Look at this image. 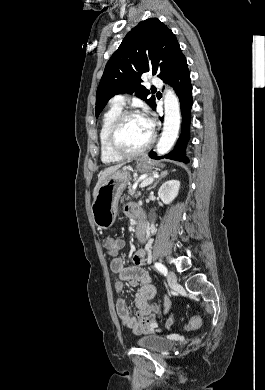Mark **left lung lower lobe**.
<instances>
[{
  "label": "left lung lower lobe",
  "mask_w": 265,
  "mask_h": 390,
  "mask_svg": "<svg viewBox=\"0 0 265 390\" xmlns=\"http://www.w3.org/2000/svg\"><path fill=\"white\" fill-rule=\"evenodd\" d=\"M163 81L166 83H170V85L174 88L177 96L179 97L182 114V130L181 135L173 151L162 157L156 156V153L151 151L149 153V156L153 159L168 158L188 163L189 160L185 156V148L189 139V126L193 101L190 73L188 70L186 58L183 53H181L177 57L171 68V71L169 72L168 76L163 79Z\"/></svg>",
  "instance_id": "1"
}]
</instances>
